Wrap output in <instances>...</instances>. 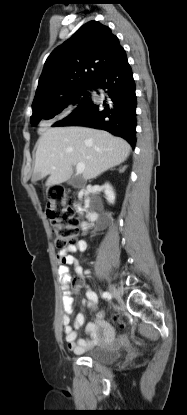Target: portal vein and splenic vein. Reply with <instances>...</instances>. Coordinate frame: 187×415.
<instances>
[{
    "label": "portal vein and splenic vein",
    "instance_id": "obj_1",
    "mask_svg": "<svg viewBox=\"0 0 187 415\" xmlns=\"http://www.w3.org/2000/svg\"><path fill=\"white\" fill-rule=\"evenodd\" d=\"M84 169H85L84 163H78L76 165V171H77L78 174L83 173Z\"/></svg>",
    "mask_w": 187,
    "mask_h": 415
}]
</instances>
